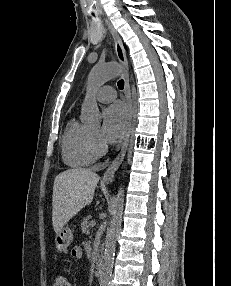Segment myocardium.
Returning a JSON list of instances; mask_svg holds the SVG:
<instances>
[{
	"label": "myocardium",
	"mask_w": 231,
	"mask_h": 286,
	"mask_svg": "<svg viewBox=\"0 0 231 286\" xmlns=\"http://www.w3.org/2000/svg\"><path fill=\"white\" fill-rule=\"evenodd\" d=\"M88 147L92 155L95 157L102 156L106 152V147L100 140L93 136L89 131L87 133Z\"/></svg>",
	"instance_id": "obj_1"
}]
</instances>
